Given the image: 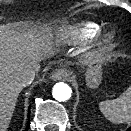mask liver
<instances>
[{"label": "liver", "mask_w": 131, "mask_h": 131, "mask_svg": "<svg viewBox=\"0 0 131 131\" xmlns=\"http://www.w3.org/2000/svg\"><path fill=\"white\" fill-rule=\"evenodd\" d=\"M51 37L43 31L20 33L0 26V131H6L23 86L19 76L30 68L39 70L49 51Z\"/></svg>", "instance_id": "obj_1"}]
</instances>
